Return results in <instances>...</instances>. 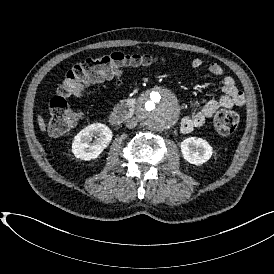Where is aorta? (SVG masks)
I'll return each instance as SVG.
<instances>
[{"mask_svg":"<svg viewBox=\"0 0 274 274\" xmlns=\"http://www.w3.org/2000/svg\"><path fill=\"white\" fill-rule=\"evenodd\" d=\"M138 120L147 128L160 131L170 128L179 118L180 109L173 93L158 89L137 106Z\"/></svg>","mask_w":274,"mask_h":274,"instance_id":"1","label":"aorta"}]
</instances>
